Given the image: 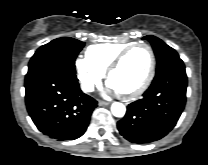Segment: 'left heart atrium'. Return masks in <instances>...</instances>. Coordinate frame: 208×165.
Wrapping results in <instances>:
<instances>
[{
    "mask_svg": "<svg viewBox=\"0 0 208 165\" xmlns=\"http://www.w3.org/2000/svg\"><path fill=\"white\" fill-rule=\"evenodd\" d=\"M110 88H111L112 90H114L113 87H111V85H110Z\"/></svg>",
    "mask_w": 208,
    "mask_h": 165,
    "instance_id": "left-heart-atrium-1",
    "label": "left heart atrium"
}]
</instances>
